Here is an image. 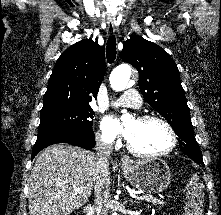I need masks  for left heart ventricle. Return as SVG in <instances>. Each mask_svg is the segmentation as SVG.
Here are the masks:
<instances>
[{"label":"left heart ventricle","mask_w":221,"mask_h":215,"mask_svg":"<svg viewBox=\"0 0 221 215\" xmlns=\"http://www.w3.org/2000/svg\"><path fill=\"white\" fill-rule=\"evenodd\" d=\"M130 131L129 142L143 153L161 152L168 148L170 137L166 128L158 121L139 122L132 120L127 124Z\"/></svg>","instance_id":"obj_1"}]
</instances>
